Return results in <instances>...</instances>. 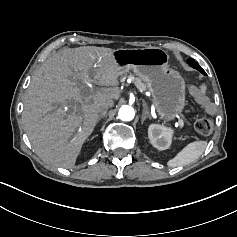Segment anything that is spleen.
<instances>
[{"label": "spleen", "mask_w": 237, "mask_h": 237, "mask_svg": "<svg viewBox=\"0 0 237 237\" xmlns=\"http://www.w3.org/2000/svg\"><path fill=\"white\" fill-rule=\"evenodd\" d=\"M206 141H194L185 146L173 159L167 162L168 167L185 166L196 161L205 151Z\"/></svg>", "instance_id": "obj_1"}]
</instances>
